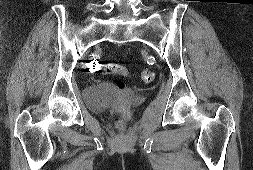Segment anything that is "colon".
<instances>
[{
  "label": "colon",
  "instance_id": "obj_1",
  "mask_svg": "<svg viewBox=\"0 0 253 170\" xmlns=\"http://www.w3.org/2000/svg\"><path fill=\"white\" fill-rule=\"evenodd\" d=\"M101 71L105 74L114 75L118 79L126 77L128 75V70L126 67H124L123 65H120V64H115V63H102L101 64ZM140 78L143 82L150 83V82L154 81L155 73L153 70H151L149 68H144L141 71ZM118 85H119V87H123L124 83L122 81L118 80ZM115 123H116L117 129L121 133H123L126 129V124H125V121L121 115L115 116Z\"/></svg>",
  "mask_w": 253,
  "mask_h": 170
}]
</instances>
